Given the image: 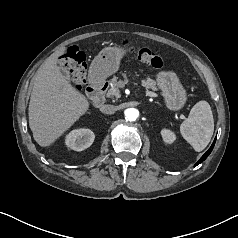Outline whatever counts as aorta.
<instances>
[{
	"label": "aorta",
	"instance_id": "aorta-1",
	"mask_svg": "<svg viewBox=\"0 0 238 238\" xmlns=\"http://www.w3.org/2000/svg\"><path fill=\"white\" fill-rule=\"evenodd\" d=\"M124 114L127 121H135L139 116V111L135 108H128Z\"/></svg>",
	"mask_w": 238,
	"mask_h": 238
}]
</instances>
